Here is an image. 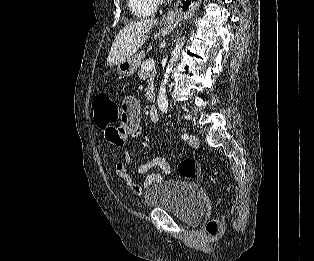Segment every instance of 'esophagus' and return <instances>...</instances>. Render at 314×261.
I'll list each match as a JSON object with an SVG mask.
<instances>
[{"instance_id": "esophagus-1", "label": "esophagus", "mask_w": 314, "mask_h": 261, "mask_svg": "<svg viewBox=\"0 0 314 261\" xmlns=\"http://www.w3.org/2000/svg\"><path fill=\"white\" fill-rule=\"evenodd\" d=\"M199 1H201V0H198V2L197 3H195V4H193V5H191V7L189 8V10L188 11H186V13H190V14H192L195 10H196V8H197V6H199ZM185 13V11H183V9L182 8H180L179 10L178 9H176V11L175 12H171L170 14L173 16V17H175V15L176 14H180V15H182V14H184Z\"/></svg>"}]
</instances>
